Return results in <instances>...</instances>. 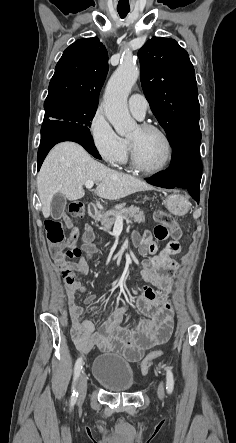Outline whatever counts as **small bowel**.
Here are the masks:
<instances>
[{
	"mask_svg": "<svg viewBox=\"0 0 236 443\" xmlns=\"http://www.w3.org/2000/svg\"><path fill=\"white\" fill-rule=\"evenodd\" d=\"M93 238L92 228L86 226L81 240V247L85 252L97 251V247L92 243ZM135 241L142 247V252L155 253L156 247L150 232H144L141 237H136ZM74 243L70 242L69 245ZM171 245L174 249L169 248ZM179 251V245L171 242L167 248L144 262L141 272L144 284L139 289L134 304L142 316L133 324L124 322V315L130 309L129 304L114 308H98L93 306L95 297L86 296L83 302L87 307L78 305L74 295L76 292H86L87 287L77 278L76 273L87 274L89 266L83 258L74 263L59 262L60 277L64 284L70 317V334L76 348L86 354L94 347H98L103 351L120 353L125 358L135 361L137 359L131 358V354L137 353L141 356L146 349L167 342L174 327L170 303L173 293L172 274L178 268L177 262L170 257V254ZM150 285L160 288L162 292H156ZM93 312L106 315V320L98 330L94 322L82 319L83 315Z\"/></svg>",
	"mask_w": 236,
	"mask_h": 443,
	"instance_id": "c3829d8e",
	"label": "small bowel"
}]
</instances>
